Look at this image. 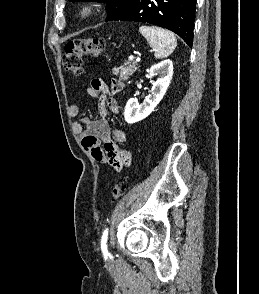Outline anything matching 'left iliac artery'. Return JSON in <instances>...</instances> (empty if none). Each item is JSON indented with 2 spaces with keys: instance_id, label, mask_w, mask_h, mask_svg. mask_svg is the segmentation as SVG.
<instances>
[{
  "instance_id": "1",
  "label": "left iliac artery",
  "mask_w": 259,
  "mask_h": 294,
  "mask_svg": "<svg viewBox=\"0 0 259 294\" xmlns=\"http://www.w3.org/2000/svg\"><path fill=\"white\" fill-rule=\"evenodd\" d=\"M107 239H108V228L104 230L102 238H101V249L104 255H108Z\"/></svg>"
}]
</instances>
